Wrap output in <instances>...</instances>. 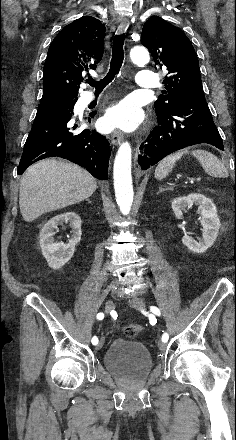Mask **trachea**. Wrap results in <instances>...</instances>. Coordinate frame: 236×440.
Wrapping results in <instances>:
<instances>
[{
    "label": "trachea",
    "mask_w": 236,
    "mask_h": 440,
    "mask_svg": "<svg viewBox=\"0 0 236 440\" xmlns=\"http://www.w3.org/2000/svg\"><path fill=\"white\" fill-rule=\"evenodd\" d=\"M124 34L116 35L113 40L112 58L110 62V69L107 75L100 81L88 79L86 82L95 87L96 91H102L113 79L119 74L123 60H124Z\"/></svg>",
    "instance_id": "1"
}]
</instances>
